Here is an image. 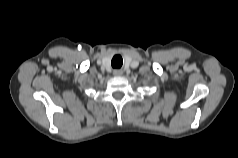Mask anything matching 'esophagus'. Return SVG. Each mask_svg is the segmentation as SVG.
Wrapping results in <instances>:
<instances>
[{
  "label": "esophagus",
  "mask_w": 238,
  "mask_h": 158,
  "mask_svg": "<svg viewBox=\"0 0 238 158\" xmlns=\"http://www.w3.org/2000/svg\"><path fill=\"white\" fill-rule=\"evenodd\" d=\"M114 76H121L123 74V71L120 69H116L113 71Z\"/></svg>",
  "instance_id": "34e87169"
}]
</instances>
